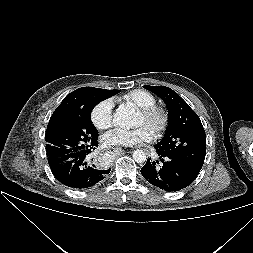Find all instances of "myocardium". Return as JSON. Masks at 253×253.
<instances>
[{"mask_svg":"<svg viewBox=\"0 0 253 253\" xmlns=\"http://www.w3.org/2000/svg\"><path fill=\"white\" fill-rule=\"evenodd\" d=\"M140 114L146 119L152 120L156 123L154 128V134L156 136L162 135L167 129L169 124V114L166 109L154 105L147 108H141Z\"/></svg>","mask_w":253,"mask_h":253,"instance_id":"obj_1","label":"myocardium"}]
</instances>
